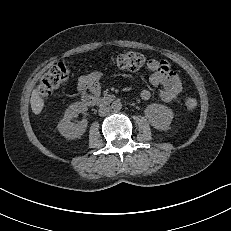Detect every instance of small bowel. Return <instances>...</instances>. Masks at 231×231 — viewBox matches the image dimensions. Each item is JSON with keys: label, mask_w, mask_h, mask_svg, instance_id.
I'll use <instances>...</instances> for the list:
<instances>
[{"label": "small bowel", "mask_w": 231, "mask_h": 231, "mask_svg": "<svg viewBox=\"0 0 231 231\" xmlns=\"http://www.w3.org/2000/svg\"><path fill=\"white\" fill-rule=\"evenodd\" d=\"M147 68L151 71L150 84L159 89V96L165 103L177 100L183 93V85L180 76L174 72L170 64L163 60L150 59ZM102 73L93 71L83 75L78 80V89L82 92H89L92 95H99L101 91L100 80ZM143 100L151 98V91L144 89L140 94Z\"/></svg>", "instance_id": "obj_1"}]
</instances>
